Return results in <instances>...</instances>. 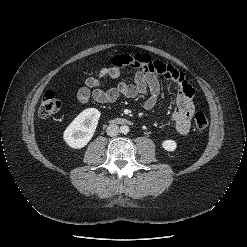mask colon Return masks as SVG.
<instances>
[{
	"instance_id": "5ec220e1",
	"label": "colon",
	"mask_w": 247,
	"mask_h": 247,
	"mask_svg": "<svg viewBox=\"0 0 247 247\" xmlns=\"http://www.w3.org/2000/svg\"><path fill=\"white\" fill-rule=\"evenodd\" d=\"M61 107V102L54 91H47L41 101L39 114L42 118H49L56 114ZM194 124L197 129L203 130L208 126V118L202 112H197L194 116Z\"/></svg>"
}]
</instances>
